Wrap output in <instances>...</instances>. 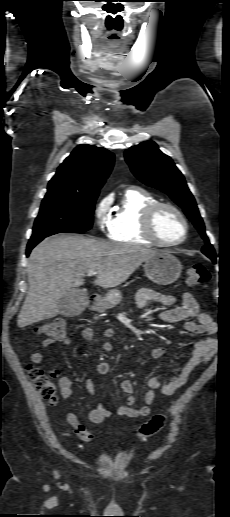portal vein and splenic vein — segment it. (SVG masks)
I'll return each instance as SVG.
<instances>
[{
  "mask_svg": "<svg viewBox=\"0 0 230 517\" xmlns=\"http://www.w3.org/2000/svg\"><path fill=\"white\" fill-rule=\"evenodd\" d=\"M96 273H97V272H96V271H94V270H88V271H87V276H88V277H90V276L95 275Z\"/></svg>",
  "mask_w": 230,
  "mask_h": 517,
  "instance_id": "1",
  "label": "portal vein and splenic vein"
}]
</instances>
